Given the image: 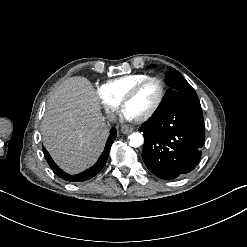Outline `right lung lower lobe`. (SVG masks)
<instances>
[{
    "instance_id": "obj_1",
    "label": "right lung lower lobe",
    "mask_w": 247,
    "mask_h": 247,
    "mask_svg": "<svg viewBox=\"0 0 247 247\" xmlns=\"http://www.w3.org/2000/svg\"><path fill=\"white\" fill-rule=\"evenodd\" d=\"M115 139H116V129L113 128L110 132V136H109L108 141L106 143L105 150L103 151L102 155L98 159L97 163L93 167H91L90 169H88V170H86L80 174L74 175V176L61 170L55 164V162L52 160L51 156L49 155L48 151L45 148H43V152H44V156L46 158V161L48 162L49 166L51 167V169L54 171V173L57 176H59L60 178L66 180V181H70V182H82V181H86V180L91 179L92 177L97 175L102 170V168L104 167V165L108 159L110 147H111V145Z\"/></svg>"
}]
</instances>
